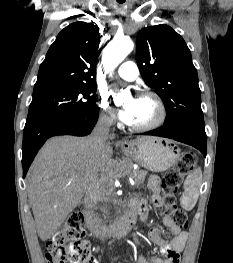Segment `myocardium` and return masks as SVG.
Instances as JSON below:
<instances>
[{
    "label": "myocardium",
    "instance_id": "obj_1",
    "mask_svg": "<svg viewBox=\"0 0 233 263\" xmlns=\"http://www.w3.org/2000/svg\"><path fill=\"white\" fill-rule=\"evenodd\" d=\"M138 98H149L153 100L157 106L158 113L156 118L150 123L144 125H130V129L136 132H147L160 127L167 117V109L162 98L152 91H143L139 93Z\"/></svg>",
    "mask_w": 233,
    "mask_h": 263
}]
</instances>
